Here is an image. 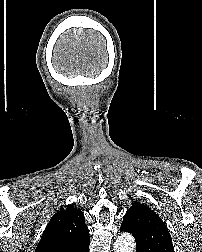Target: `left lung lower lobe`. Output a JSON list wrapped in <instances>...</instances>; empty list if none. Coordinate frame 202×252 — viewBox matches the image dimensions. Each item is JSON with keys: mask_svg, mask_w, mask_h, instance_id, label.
Segmentation results:
<instances>
[{"mask_svg": "<svg viewBox=\"0 0 202 252\" xmlns=\"http://www.w3.org/2000/svg\"><path fill=\"white\" fill-rule=\"evenodd\" d=\"M123 231H125V232H127L124 228H120V232H123Z\"/></svg>", "mask_w": 202, "mask_h": 252, "instance_id": "1", "label": "left lung lower lobe"}]
</instances>
